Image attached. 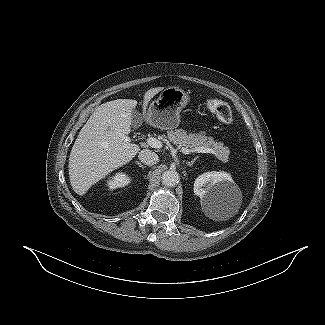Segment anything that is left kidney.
<instances>
[{
  "mask_svg": "<svg viewBox=\"0 0 325 325\" xmlns=\"http://www.w3.org/2000/svg\"><path fill=\"white\" fill-rule=\"evenodd\" d=\"M236 189L232 177L226 172H206L194 182V193L200 197L201 205H219Z\"/></svg>",
  "mask_w": 325,
  "mask_h": 325,
  "instance_id": "5707ae66",
  "label": "left kidney"
}]
</instances>
